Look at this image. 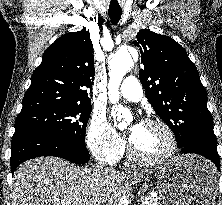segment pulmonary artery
<instances>
[{
	"label": "pulmonary artery",
	"mask_w": 222,
	"mask_h": 205,
	"mask_svg": "<svg viewBox=\"0 0 222 205\" xmlns=\"http://www.w3.org/2000/svg\"><path fill=\"white\" fill-rule=\"evenodd\" d=\"M119 92L124 98L135 102L141 100L143 96V90L139 81L132 76L123 80Z\"/></svg>",
	"instance_id": "obj_1"
}]
</instances>
